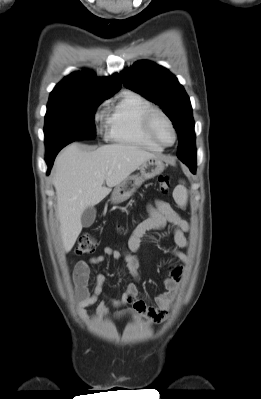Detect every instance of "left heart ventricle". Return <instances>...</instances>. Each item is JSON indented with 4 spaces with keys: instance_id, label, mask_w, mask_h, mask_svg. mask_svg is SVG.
Listing matches in <instances>:
<instances>
[{
    "instance_id": "obj_1",
    "label": "left heart ventricle",
    "mask_w": 261,
    "mask_h": 399,
    "mask_svg": "<svg viewBox=\"0 0 261 399\" xmlns=\"http://www.w3.org/2000/svg\"><path fill=\"white\" fill-rule=\"evenodd\" d=\"M153 129L156 136L164 143L171 144L173 142V132L168 122L160 115H156L153 120Z\"/></svg>"
}]
</instances>
